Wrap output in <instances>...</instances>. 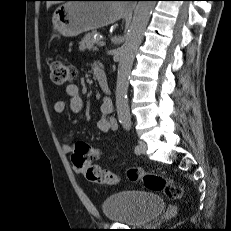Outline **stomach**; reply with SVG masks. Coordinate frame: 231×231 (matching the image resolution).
Returning <instances> with one entry per match:
<instances>
[{"label":"stomach","instance_id":"0dacf381","mask_svg":"<svg viewBox=\"0 0 231 231\" xmlns=\"http://www.w3.org/2000/svg\"><path fill=\"white\" fill-rule=\"evenodd\" d=\"M125 16L118 2L71 0L53 13V29L64 37L110 25Z\"/></svg>","mask_w":231,"mask_h":231}]
</instances>
